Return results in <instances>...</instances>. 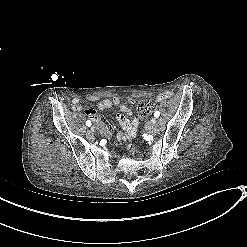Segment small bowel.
Returning a JSON list of instances; mask_svg holds the SVG:
<instances>
[{
    "label": "small bowel",
    "instance_id": "c3829d8e",
    "mask_svg": "<svg viewBox=\"0 0 247 247\" xmlns=\"http://www.w3.org/2000/svg\"><path fill=\"white\" fill-rule=\"evenodd\" d=\"M170 97V92H164L157 95L156 101L163 102ZM88 100L91 102H97V107L100 110L111 109L113 106L120 107L121 112L117 113L116 118L122 131L118 133L116 126H113V124H109L108 121H103V126L108 127V129H111L112 131L111 139L117 138L118 140L124 141L132 139L136 136L137 129L140 124V119L138 117H135L133 120L128 119L127 116L131 114V110L125 104H123L120 97H114L113 99H100L98 96H89ZM129 101L134 102V100L131 98L129 99ZM72 109L74 111H82L84 109L80 98L76 97L72 100ZM85 114L91 119L97 118V113L93 114L89 111V109L85 110ZM99 119H102V115H99Z\"/></svg>",
    "mask_w": 247,
    "mask_h": 247
}]
</instances>
